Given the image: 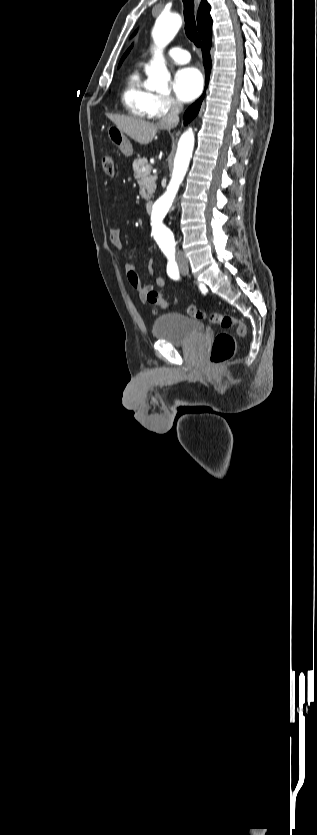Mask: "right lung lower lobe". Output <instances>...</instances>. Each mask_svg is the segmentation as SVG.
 I'll return each mask as SVG.
<instances>
[{
  "instance_id": "obj_1",
  "label": "right lung lower lobe",
  "mask_w": 317,
  "mask_h": 835,
  "mask_svg": "<svg viewBox=\"0 0 317 835\" xmlns=\"http://www.w3.org/2000/svg\"><path fill=\"white\" fill-rule=\"evenodd\" d=\"M211 35H212V32L202 40L203 64L205 66V74H206L205 87L208 85L210 70H211V56H210V53H209L211 45H212ZM203 98H204V94L193 105H191L187 109V111L184 115L185 124L190 122L197 115V113L200 110Z\"/></svg>"
}]
</instances>
